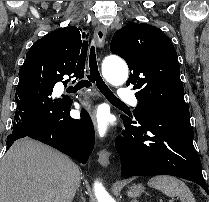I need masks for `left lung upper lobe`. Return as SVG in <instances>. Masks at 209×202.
Returning <instances> with one entry per match:
<instances>
[{"instance_id":"left-lung-upper-lobe-1","label":"left lung upper lobe","mask_w":209,"mask_h":202,"mask_svg":"<svg viewBox=\"0 0 209 202\" xmlns=\"http://www.w3.org/2000/svg\"><path fill=\"white\" fill-rule=\"evenodd\" d=\"M110 50L128 64L126 85L137 90L139 102L135 117L143 107L189 112L176 50L160 29L143 23L128 24L113 35Z\"/></svg>"}]
</instances>
